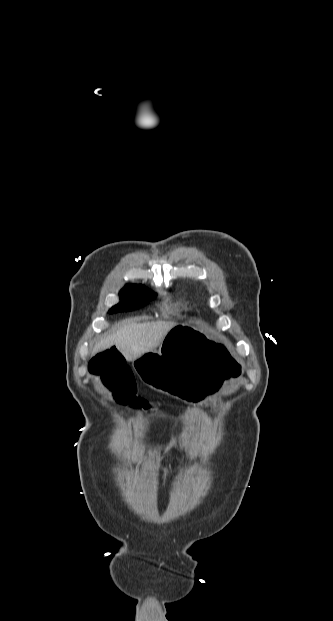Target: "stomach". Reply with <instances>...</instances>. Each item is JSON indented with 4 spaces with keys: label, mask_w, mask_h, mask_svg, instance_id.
Segmentation results:
<instances>
[{
    "label": "stomach",
    "mask_w": 333,
    "mask_h": 621,
    "mask_svg": "<svg viewBox=\"0 0 333 621\" xmlns=\"http://www.w3.org/2000/svg\"><path fill=\"white\" fill-rule=\"evenodd\" d=\"M203 329L196 322L178 325L164 337L159 350H144L133 361L149 392L202 402L240 374V363L226 353L223 341L200 333Z\"/></svg>",
    "instance_id": "0dacf381"
}]
</instances>
